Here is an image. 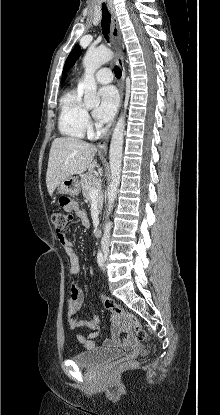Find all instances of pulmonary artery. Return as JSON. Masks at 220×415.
Segmentation results:
<instances>
[{
    "label": "pulmonary artery",
    "instance_id": "pulmonary-artery-1",
    "mask_svg": "<svg viewBox=\"0 0 220 415\" xmlns=\"http://www.w3.org/2000/svg\"><path fill=\"white\" fill-rule=\"evenodd\" d=\"M95 79L100 84H108L113 80V74L110 69L102 68L95 74Z\"/></svg>",
    "mask_w": 220,
    "mask_h": 415
}]
</instances>
